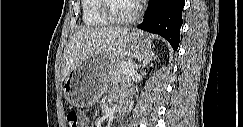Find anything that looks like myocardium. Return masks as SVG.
Masks as SVG:
<instances>
[{
  "instance_id": "1",
  "label": "myocardium",
  "mask_w": 243,
  "mask_h": 127,
  "mask_svg": "<svg viewBox=\"0 0 243 127\" xmlns=\"http://www.w3.org/2000/svg\"><path fill=\"white\" fill-rule=\"evenodd\" d=\"M111 0H100V6H101V12L102 14L112 23H130L135 21L142 10V7L139 3L134 2V11L132 14L126 17L117 16L113 13L111 6H110Z\"/></svg>"
}]
</instances>
